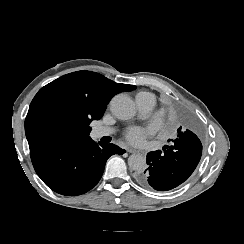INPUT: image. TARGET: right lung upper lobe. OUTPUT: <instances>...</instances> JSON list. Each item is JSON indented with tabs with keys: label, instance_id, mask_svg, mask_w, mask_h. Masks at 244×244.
Masks as SVG:
<instances>
[{
	"label": "right lung upper lobe",
	"instance_id": "cb5924a9",
	"mask_svg": "<svg viewBox=\"0 0 244 244\" xmlns=\"http://www.w3.org/2000/svg\"><path fill=\"white\" fill-rule=\"evenodd\" d=\"M135 88L134 85L116 83L96 72L77 71L66 74L40 89L30 104L29 112L35 108L50 109L64 102H73L85 103L104 114L114 95ZM30 141L33 140L28 139V142Z\"/></svg>",
	"mask_w": 244,
	"mask_h": 244
}]
</instances>
